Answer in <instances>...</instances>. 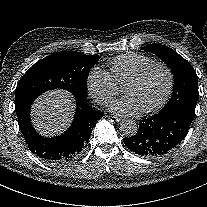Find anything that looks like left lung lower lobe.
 I'll use <instances>...</instances> for the list:
<instances>
[{"mask_svg": "<svg viewBox=\"0 0 207 207\" xmlns=\"http://www.w3.org/2000/svg\"><path fill=\"white\" fill-rule=\"evenodd\" d=\"M193 115L181 109L160 111L140 121L136 135L124 138L133 152L148 158L161 157L172 151L186 136Z\"/></svg>", "mask_w": 207, "mask_h": 207, "instance_id": "obj_1", "label": "left lung lower lobe"}]
</instances>
